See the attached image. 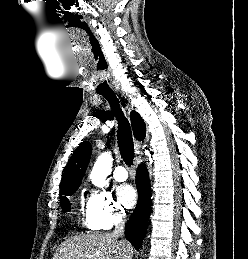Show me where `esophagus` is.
<instances>
[{
	"instance_id": "34e87169",
	"label": "esophagus",
	"mask_w": 248,
	"mask_h": 259,
	"mask_svg": "<svg viewBox=\"0 0 248 259\" xmlns=\"http://www.w3.org/2000/svg\"><path fill=\"white\" fill-rule=\"evenodd\" d=\"M140 142L138 141H135V159H134V167L137 166V163H138V157H137V154L139 153V149H140Z\"/></svg>"
}]
</instances>
